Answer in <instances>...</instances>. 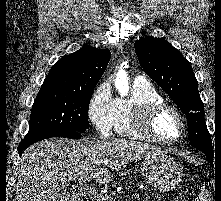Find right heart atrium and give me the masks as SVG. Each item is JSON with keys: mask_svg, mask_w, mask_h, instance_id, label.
<instances>
[{"mask_svg": "<svg viewBox=\"0 0 221 201\" xmlns=\"http://www.w3.org/2000/svg\"><path fill=\"white\" fill-rule=\"evenodd\" d=\"M88 118L95 130L108 136L115 124L116 98L108 82L101 83L93 92L87 107Z\"/></svg>", "mask_w": 221, "mask_h": 201, "instance_id": "d8ad5b80", "label": "right heart atrium"}]
</instances>
